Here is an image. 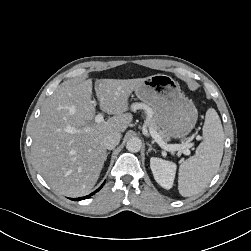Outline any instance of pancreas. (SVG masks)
<instances>
[{
  "label": "pancreas",
  "instance_id": "1",
  "mask_svg": "<svg viewBox=\"0 0 251 251\" xmlns=\"http://www.w3.org/2000/svg\"><path fill=\"white\" fill-rule=\"evenodd\" d=\"M133 110L143 109L146 113L145 125L149 128V130H154L158 133L163 142L167 143L170 140V137L159 127L155 116L154 111L146 104H133Z\"/></svg>",
  "mask_w": 251,
  "mask_h": 251
}]
</instances>
